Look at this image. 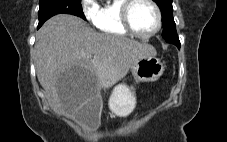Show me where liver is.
Listing matches in <instances>:
<instances>
[{
    "instance_id": "1",
    "label": "liver",
    "mask_w": 227,
    "mask_h": 142,
    "mask_svg": "<svg viewBox=\"0 0 227 142\" xmlns=\"http://www.w3.org/2000/svg\"><path fill=\"white\" fill-rule=\"evenodd\" d=\"M155 48L124 36L100 34L79 17L59 14L36 33L37 78L51 107L74 116L87 102L123 79L133 64L155 56ZM61 68H82L83 81H58Z\"/></svg>"
}]
</instances>
